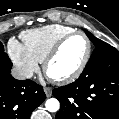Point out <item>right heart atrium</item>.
Here are the masks:
<instances>
[{
	"label": "right heart atrium",
	"instance_id": "obj_1",
	"mask_svg": "<svg viewBox=\"0 0 119 119\" xmlns=\"http://www.w3.org/2000/svg\"><path fill=\"white\" fill-rule=\"evenodd\" d=\"M7 48L13 64L22 77L31 78L38 71V61L29 53L23 43L12 38L9 40Z\"/></svg>",
	"mask_w": 119,
	"mask_h": 119
}]
</instances>
